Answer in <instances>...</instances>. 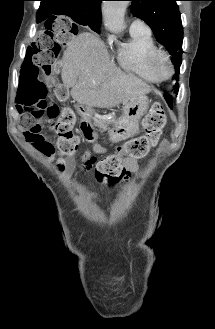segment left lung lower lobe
I'll return each instance as SVG.
<instances>
[{"mask_svg": "<svg viewBox=\"0 0 215 329\" xmlns=\"http://www.w3.org/2000/svg\"><path fill=\"white\" fill-rule=\"evenodd\" d=\"M164 98L166 99L169 107L171 108L172 107V97H171V95L165 94Z\"/></svg>", "mask_w": 215, "mask_h": 329, "instance_id": "0a47b994", "label": "left lung lower lobe"}]
</instances>
